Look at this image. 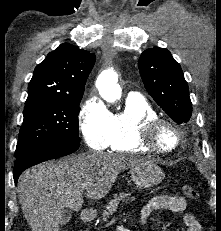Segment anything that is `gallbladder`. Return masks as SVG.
Instances as JSON below:
<instances>
[{
	"mask_svg": "<svg viewBox=\"0 0 221 231\" xmlns=\"http://www.w3.org/2000/svg\"><path fill=\"white\" fill-rule=\"evenodd\" d=\"M72 218V212L69 210H64L61 215L60 225L64 226L70 222Z\"/></svg>",
	"mask_w": 221,
	"mask_h": 231,
	"instance_id": "gallbladder-1",
	"label": "gallbladder"
}]
</instances>
